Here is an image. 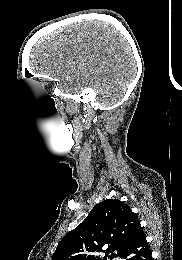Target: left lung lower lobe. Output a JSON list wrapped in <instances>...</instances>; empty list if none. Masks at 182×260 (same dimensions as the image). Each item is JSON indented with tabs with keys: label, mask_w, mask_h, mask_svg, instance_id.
Masks as SVG:
<instances>
[{
	"label": "left lung lower lobe",
	"mask_w": 182,
	"mask_h": 260,
	"mask_svg": "<svg viewBox=\"0 0 182 260\" xmlns=\"http://www.w3.org/2000/svg\"><path fill=\"white\" fill-rule=\"evenodd\" d=\"M121 258L125 260H152L151 250L141 226L132 234Z\"/></svg>",
	"instance_id": "obj_1"
}]
</instances>
